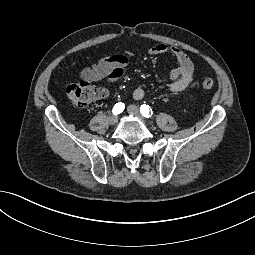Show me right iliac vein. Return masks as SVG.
<instances>
[{"label": "right iliac vein", "instance_id": "obj_1", "mask_svg": "<svg viewBox=\"0 0 255 255\" xmlns=\"http://www.w3.org/2000/svg\"><path fill=\"white\" fill-rule=\"evenodd\" d=\"M118 121V117L116 115H110L109 118H108V122L110 125H114L116 124Z\"/></svg>", "mask_w": 255, "mask_h": 255}]
</instances>
